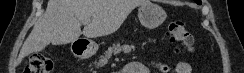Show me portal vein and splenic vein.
Masks as SVG:
<instances>
[{
  "instance_id": "1",
  "label": "portal vein and splenic vein",
  "mask_w": 244,
  "mask_h": 73,
  "mask_svg": "<svg viewBox=\"0 0 244 73\" xmlns=\"http://www.w3.org/2000/svg\"><path fill=\"white\" fill-rule=\"evenodd\" d=\"M90 22H91V20L88 19V20H85V21L83 22V24H84V25H87V24H89Z\"/></svg>"
}]
</instances>
